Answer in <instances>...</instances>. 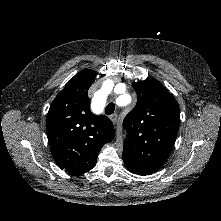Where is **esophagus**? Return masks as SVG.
<instances>
[{
	"label": "esophagus",
	"instance_id": "1",
	"mask_svg": "<svg viewBox=\"0 0 221 221\" xmlns=\"http://www.w3.org/2000/svg\"><path fill=\"white\" fill-rule=\"evenodd\" d=\"M110 119L113 122V124H115L117 122V114L114 113V114L110 115Z\"/></svg>",
	"mask_w": 221,
	"mask_h": 221
}]
</instances>
